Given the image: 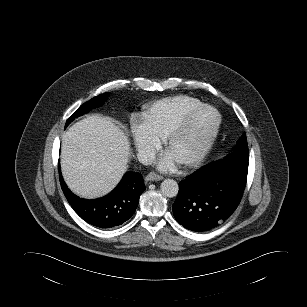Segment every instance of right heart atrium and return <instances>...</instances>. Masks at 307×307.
<instances>
[{
	"label": "right heart atrium",
	"mask_w": 307,
	"mask_h": 307,
	"mask_svg": "<svg viewBox=\"0 0 307 307\" xmlns=\"http://www.w3.org/2000/svg\"><path fill=\"white\" fill-rule=\"evenodd\" d=\"M131 131L139 158L142 161H150L159 149L160 141L147 130L143 122H134Z\"/></svg>",
	"instance_id": "d8ad5b80"
}]
</instances>
